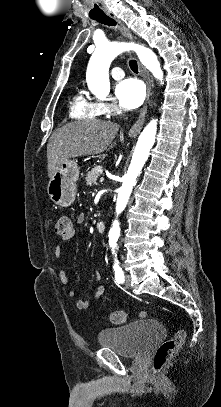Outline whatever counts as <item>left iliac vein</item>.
<instances>
[{"label":"left iliac vein","instance_id":"4c4485c4","mask_svg":"<svg viewBox=\"0 0 221 407\" xmlns=\"http://www.w3.org/2000/svg\"><path fill=\"white\" fill-rule=\"evenodd\" d=\"M131 280H132L131 275H130V274H126V275H125V280H124V283H125V287H126V288H131Z\"/></svg>","mask_w":221,"mask_h":407}]
</instances>
